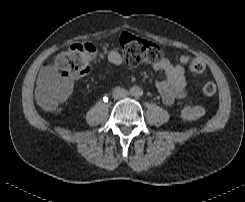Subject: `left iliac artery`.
I'll use <instances>...</instances> for the list:
<instances>
[{
  "label": "left iliac artery",
  "mask_w": 245,
  "mask_h": 202,
  "mask_svg": "<svg viewBox=\"0 0 245 202\" xmlns=\"http://www.w3.org/2000/svg\"><path fill=\"white\" fill-rule=\"evenodd\" d=\"M141 95H142V92H139V93H138V96H141Z\"/></svg>",
  "instance_id": "1"
}]
</instances>
